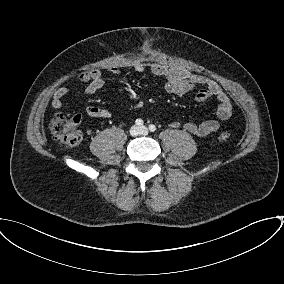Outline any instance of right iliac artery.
Here are the masks:
<instances>
[{"label": "right iliac artery", "instance_id": "obj_1", "mask_svg": "<svg viewBox=\"0 0 284 284\" xmlns=\"http://www.w3.org/2000/svg\"><path fill=\"white\" fill-rule=\"evenodd\" d=\"M135 124H136L137 126H142V125H143V120H142V119H137V120L135 121Z\"/></svg>", "mask_w": 284, "mask_h": 284}]
</instances>
